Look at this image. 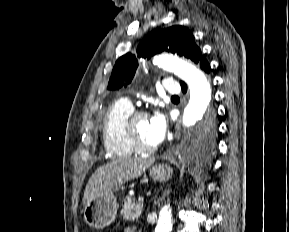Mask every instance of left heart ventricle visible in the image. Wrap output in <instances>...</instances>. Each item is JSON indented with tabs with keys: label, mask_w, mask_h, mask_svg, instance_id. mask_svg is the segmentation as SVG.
Here are the masks:
<instances>
[{
	"label": "left heart ventricle",
	"mask_w": 289,
	"mask_h": 232,
	"mask_svg": "<svg viewBox=\"0 0 289 232\" xmlns=\"http://www.w3.org/2000/svg\"><path fill=\"white\" fill-rule=\"evenodd\" d=\"M134 129L138 139L147 146H154L150 130H149V117H141L137 119L134 125Z\"/></svg>",
	"instance_id": "b2bd125f"
}]
</instances>
